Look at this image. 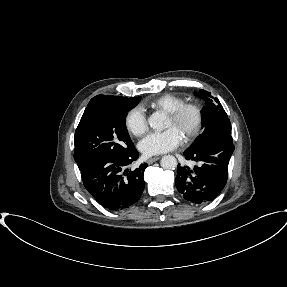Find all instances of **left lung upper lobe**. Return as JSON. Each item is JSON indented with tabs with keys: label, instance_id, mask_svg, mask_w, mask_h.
I'll return each instance as SVG.
<instances>
[{
	"label": "left lung upper lobe",
	"instance_id": "obj_1",
	"mask_svg": "<svg viewBox=\"0 0 287 287\" xmlns=\"http://www.w3.org/2000/svg\"><path fill=\"white\" fill-rule=\"evenodd\" d=\"M197 95L206 101V105L201 112L203 133L188 150L204 148L231 134L230 121L219 100L213 98L211 94L205 90H200Z\"/></svg>",
	"mask_w": 287,
	"mask_h": 287
}]
</instances>
